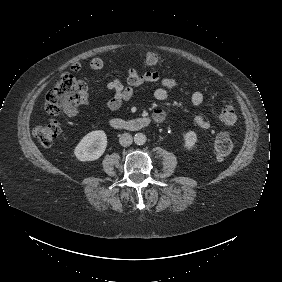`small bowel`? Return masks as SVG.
<instances>
[{
	"instance_id": "1",
	"label": "small bowel",
	"mask_w": 282,
	"mask_h": 282,
	"mask_svg": "<svg viewBox=\"0 0 282 282\" xmlns=\"http://www.w3.org/2000/svg\"><path fill=\"white\" fill-rule=\"evenodd\" d=\"M103 66L104 61L100 57H95L89 62V67L92 70H100ZM80 70V63L72 64V72L77 73ZM147 83H159V86L153 92V97L159 102L168 100L169 90L175 89L178 86L174 79L161 77L157 72L139 74L135 70H131L128 74L126 84L119 78H115L108 83L107 88L111 91L112 96L105 101V107L112 111L120 109L125 102L132 98L136 89ZM188 101L193 106L200 105L203 101V94L200 91H193L189 95ZM65 112L68 116H74L77 114V109L75 107H69L65 109ZM159 112L162 111L156 110L153 115L158 116L155 114ZM194 121L196 126L201 130H208L210 128V121L202 115L195 116Z\"/></svg>"
}]
</instances>
